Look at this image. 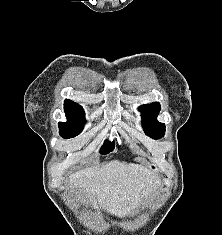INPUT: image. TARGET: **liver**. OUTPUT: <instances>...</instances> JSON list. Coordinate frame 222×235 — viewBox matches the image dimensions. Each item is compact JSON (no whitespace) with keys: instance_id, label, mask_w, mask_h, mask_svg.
<instances>
[{"instance_id":"6515ba94","label":"liver","mask_w":222,"mask_h":235,"mask_svg":"<svg viewBox=\"0 0 222 235\" xmlns=\"http://www.w3.org/2000/svg\"><path fill=\"white\" fill-rule=\"evenodd\" d=\"M68 182L88 198L94 209L101 207L120 218L160 184L148 168L118 160L77 171L69 176Z\"/></svg>"}]
</instances>
